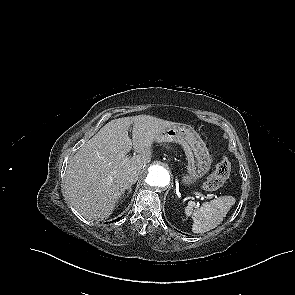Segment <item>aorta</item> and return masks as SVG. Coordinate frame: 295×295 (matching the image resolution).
I'll list each match as a JSON object with an SVG mask.
<instances>
[{
  "label": "aorta",
  "mask_w": 295,
  "mask_h": 295,
  "mask_svg": "<svg viewBox=\"0 0 295 295\" xmlns=\"http://www.w3.org/2000/svg\"><path fill=\"white\" fill-rule=\"evenodd\" d=\"M170 182L169 171L162 165L154 164L147 169L145 183L151 189H161Z\"/></svg>",
  "instance_id": "1"
}]
</instances>
